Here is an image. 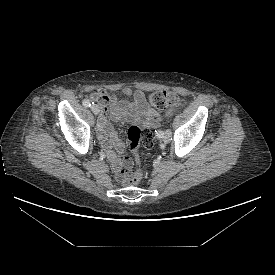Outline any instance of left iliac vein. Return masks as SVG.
<instances>
[{"instance_id": "1", "label": "left iliac vein", "mask_w": 275, "mask_h": 275, "mask_svg": "<svg viewBox=\"0 0 275 275\" xmlns=\"http://www.w3.org/2000/svg\"><path fill=\"white\" fill-rule=\"evenodd\" d=\"M170 137H171V132L170 130H166L164 136L162 137V140L164 142H169L170 141Z\"/></svg>"}]
</instances>
